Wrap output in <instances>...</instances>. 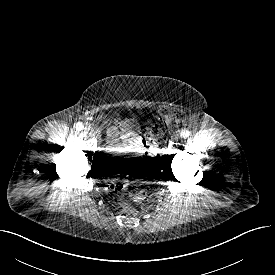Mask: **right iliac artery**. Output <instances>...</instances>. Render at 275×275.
I'll return each instance as SVG.
<instances>
[{"label": "right iliac artery", "mask_w": 275, "mask_h": 275, "mask_svg": "<svg viewBox=\"0 0 275 275\" xmlns=\"http://www.w3.org/2000/svg\"><path fill=\"white\" fill-rule=\"evenodd\" d=\"M75 128L76 130H83L84 129V125L80 122H78L76 125H75Z\"/></svg>", "instance_id": "82829eb1"}]
</instances>
